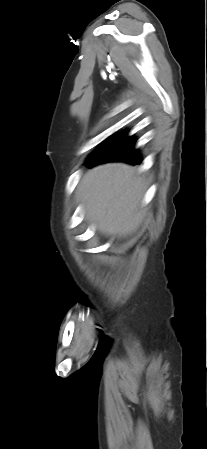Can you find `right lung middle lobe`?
I'll return each instance as SVG.
<instances>
[{"label": "right lung middle lobe", "instance_id": "right-lung-middle-lobe-1", "mask_svg": "<svg viewBox=\"0 0 207 449\" xmlns=\"http://www.w3.org/2000/svg\"><path fill=\"white\" fill-rule=\"evenodd\" d=\"M109 140L105 141L102 145L99 146V148L91 155H95Z\"/></svg>", "mask_w": 207, "mask_h": 449}]
</instances>
